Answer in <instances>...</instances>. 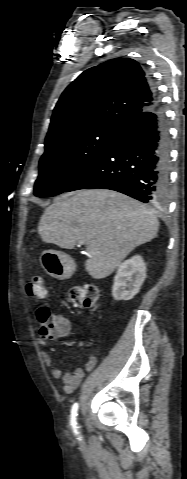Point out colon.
Here are the masks:
<instances>
[{"instance_id": "1", "label": "colon", "mask_w": 187, "mask_h": 479, "mask_svg": "<svg viewBox=\"0 0 187 479\" xmlns=\"http://www.w3.org/2000/svg\"><path fill=\"white\" fill-rule=\"evenodd\" d=\"M26 289L30 297L36 299L47 297L45 279L41 275L34 276L27 283ZM65 297L70 305L89 311H95L99 305V290L95 285H74L67 290ZM35 316L40 325L39 333L42 338L53 340L60 335L61 326L49 309L40 307L35 311Z\"/></svg>"}]
</instances>
